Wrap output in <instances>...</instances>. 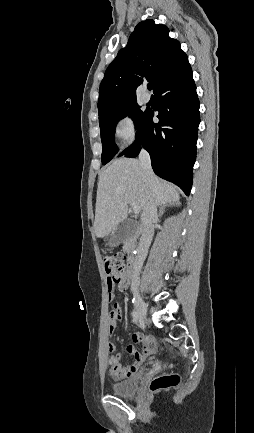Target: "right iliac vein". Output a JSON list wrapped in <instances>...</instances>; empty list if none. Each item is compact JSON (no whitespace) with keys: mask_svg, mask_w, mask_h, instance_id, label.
Listing matches in <instances>:
<instances>
[{"mask_svg":"<svg viewBox=\"0 0 254 433\" xmlns=\"http://www.w3.org/2000/svg\"><path fill=\"white\" fill-rule=\"evenodd\" d=\"M134 300H135L134 301L135 309H136V312L138 314V317L141 320H145L147 310H146V306H145L143 299L139 295H135Z\"/></svg>","mask_w":254,"mask_h":433,"instance_id":"1","label":"right iliac vein"}]
</instances>
